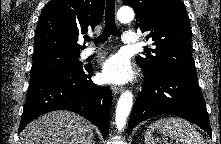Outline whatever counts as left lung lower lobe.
Segmentation results:
<instances>
[{
    "label": "left lung lower lobe",
    "mask_w": 221,
    "mask_h": 144,
    "mask_svg": "<svg viewBox=\"0 0 221 144\" xmlns=\"http://www.w3.org/2000/svg\"><path fill=\"white\" fill-rule=\"evenodd\" d=\"M143 72L145 83L131 112L129 134L144 120L161 114H172L200 126L212 138L197 75L173 69H143Z\"/></svg>",
    "instance_id": "left-lung-lower-lobe-1"
}]
</instances>
